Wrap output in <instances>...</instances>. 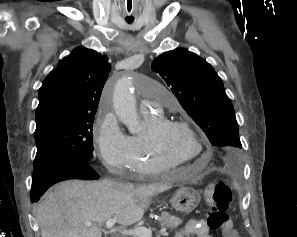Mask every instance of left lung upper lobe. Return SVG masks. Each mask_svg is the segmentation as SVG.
<instances>
[{
	"mask_svg": "<svg viewBox=\"0 0 297 237\" xmlns=\"http://www.w3.org/2000/svg\"><path fill=\"white\" fill-rule=\"evenodd\" d=\"M151 68L159 73L181 106L205 132L212 145L219 147L226 161L241 153L239 127L230 98L213 67L186 49H175L158 56Z\"/></svg>",
	"mask_w": 297,
	"mask_h": 237,
	"instance_id": "1",
	"label": "left lung upper lobe"
}]
</instances>
